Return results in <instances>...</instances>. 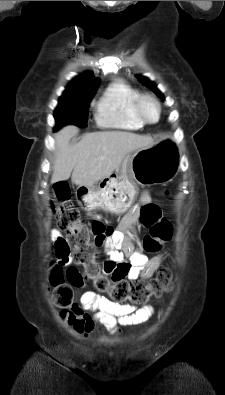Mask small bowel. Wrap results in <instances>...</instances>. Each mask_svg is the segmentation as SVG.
I'll use <instances>...</instances> for the list:
<instances>
[{
	"mask_svg": "<svg viewBox=\"0 0 225 395\" xmlns=\"http://www.w3.org/2000/svg\"><path fill=\"white\" fill-rule=\"evenodd\" d=\"M138 209H132L125 217L119 231L95 221L92 231L96 246H104L108 260L103 264L105 275L115 279L135 281L138 278L148 279L160 267L163 254L147 257L137 251L124 239L128 227L138 220ZM53 252L56 254V265L66 270L67 281H71L72 292H83L79 304H73L61 311V317L81 335L88 336L100 324L110 334L120 333V327L137 325L146 322L153 314L151 306L136 308L128 304H116L110 299L96 294L95 288H87L86 279H82L81 267L71 263L73 249L67 237H61L58 230L51 232ZM91 312L92 314H90Z\"/></svg>",
	"mask_w": 225,
	"mask_h": 395,
	"instance_id": "c3829d8e",
	"label": "small bowel"
}]
</instances>
